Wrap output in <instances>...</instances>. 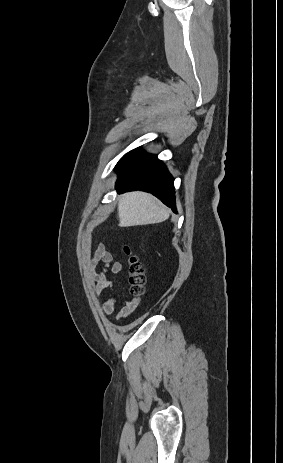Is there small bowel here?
Here are the masks:
<instances>
[{"label":"small bowel","mask_w":283,"mask_h":463,"mask_svg":"<svg viewBox=\"0 0 283 463\" xmlns=\"http://www.w3.org/2000/svg\"><path fill=\"white\" fill-rule=\"evenodd\" d=\"M99 263L103 264V270L100 273L96 271ZM88 265L91 276L95 282L94 293L96 296H100L104 290L112 287V282L107 278L108 271L113 274H121L123 271L122 263L114 261L112 254L106 250L103 243L98 244L89 260ZM117 304L118 298L116 296L108 298L102 305V312L107 316L112 315ZM132 308L133 304L131 302L127 303V305L122 308L118 316L125 314Z\"/></svg>","instance_id":"obj_1"}]
</instances>
